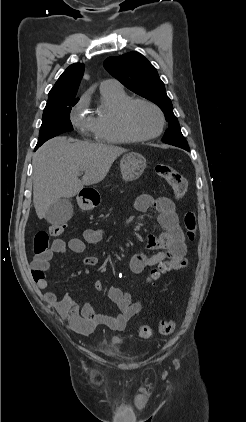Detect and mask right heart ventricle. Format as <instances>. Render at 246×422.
Returning <instances> with one entry per match:
<instances>
[{"label": "right heart ventricle", "mask_w": 246, "mask_h": 422, "mask_svg": "<svg viewBox=\"0 0 246 422\" xmlns=\"http://www.w3.org/2000/svg\"><path fill=\"white\" fill-rule=\"evenodd\" d=\"M102 108L93 118V134L99 142L124 144L135 141L123 129L119 111L132 99L121 87L104 88L100 90Z\"/></svg>", "instance_id": "e07e8e85"}]
</instances>
